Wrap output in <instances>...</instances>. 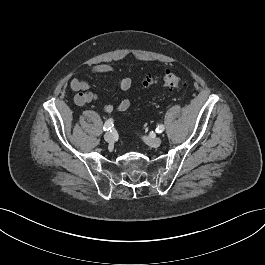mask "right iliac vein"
Returning a JSON list of instances; mask_svg holds the SVG:
<instances>
[{"label":"right iliac vein","mask_w":265,"mask_h":265,"mask_svg":"<svg viewBox=\"0 0 265 265\" xmlns=\"http://www.w3.org/2000/svg\"><path fill=\"white\" fill-rule=\"evenodd\" d=\"M104 139L106 142L108 143H113L114 142V135L113 133L111 132H107L105 135H104Z\"/></svg>","instance_id":"1"}]
</instances>
